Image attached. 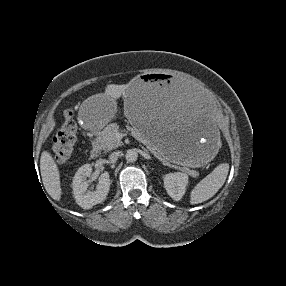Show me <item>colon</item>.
<instances>
[{"label":"colon","mask_w":286,"mask_h":286,"mask_svg":"<svg viewBox=\"0 0 286 286\" xmlns=\"http://www.w3.org/2000/svg\"><path fill=\"white\" fill-rule=\"evenodd\" d=\"M76 141L77 126L72 112L66 110L59 123L53 142V155L58 163H64L71 157Z\"/></svg>","instance_id":"colon-1"}]
</instances>
